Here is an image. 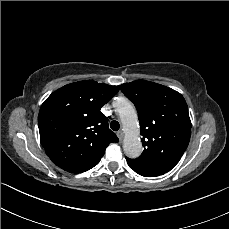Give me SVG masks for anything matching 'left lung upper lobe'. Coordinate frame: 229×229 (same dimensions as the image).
Returning a JSON list of instances; mask_svg holds the SVG:
<instances>
[{
	"label": "left lung upper lobe",
	"mask_w": 229,
	"mask_h": 229,
	"mask_svg": "<svg viewBox=\"0 0 229 229\" xmlns=\"http://www.w3.org/2000/svg\"><path fill=\"white\" fill-rule=\"evenodd\" d=\"M138 111L143 153L126 159L148 177L163 175L179 162L191 136L184 97L177 91L146 80L119 85Z\"/></svg>",
	"instance_id": "1"
}]
</instances>
